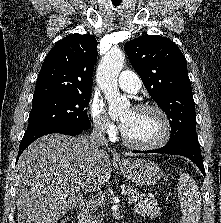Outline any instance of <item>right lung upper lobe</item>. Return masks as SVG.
<instances>
[{
  "label": "right lung upper lobe",
  "instance_id": "cb5924a9",
  "mask_svg": "<svg viewBox=\"0 0 221 223\" xmlns=\"http://www.w3.org/2000/svg\"><path fill=\"white\" fill-rule=\"evenodd\" d=\"M96 59L97 41L92 35L72 34L63 38L42 64L33 100L91 92Z\"/></svg>",
  "mask_w": 221,
  "mask_h": 223
}]
</instances>
